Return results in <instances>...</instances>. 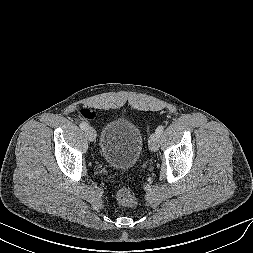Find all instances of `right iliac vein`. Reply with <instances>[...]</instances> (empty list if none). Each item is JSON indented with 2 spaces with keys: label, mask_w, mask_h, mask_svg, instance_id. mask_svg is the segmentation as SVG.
<instances>
[{
  "label": "right iliac vein",
  "mask_w": 253,
  "mask_h": 253,
  "mask_svg": "<svg viewBox=\"0 0 253 253\" xmlns=\"http://www.w3.org/2000/svg\"><path fill=\"white\" fill-rule=\"evenodd\" d=\"M85 135L91 142L96 139V131L92 127H89L85 130Z\"/></svg>",
  "instance_id": "right-iliac-vein-1"
}]
</instances>
